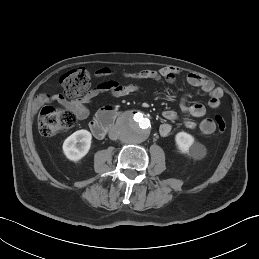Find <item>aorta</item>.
Masks as SVG:
<instances>
[{"label": "aorta", "mask_w": 259, "mask_h": 259, "mask_svg": "<svg viewBox=\"0 0 259 259\" xmlns=\"http://www.w3.org/2000/svg\"><path fill=\"white\" fill-rule=\"evenodd\" d=\"M117 130L123 142L139 144L149 137L151 124L150 120L140 112L127 113L120 118Z\"/></svg>", "instance_id": "762f6f07"}]
</instances>
